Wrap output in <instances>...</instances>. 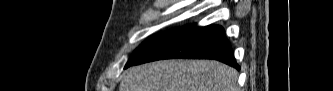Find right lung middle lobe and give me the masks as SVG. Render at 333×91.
I'll list each match as a JSON object with an SVG mask.
<instances>
[{
	"mask_svg": "<svg viewBox=\"0 0 333 91\" xmlns=\"http://www.w3.org/2000/svg\"><path fill=\"white\" fill-rule=\"evenodd\" d=\"M180 29V28H179ZM179 29H171L166 32L155 34L149 37L131 56L129 62L126 64L125 68L132 65L134 62L142 58L145 54H147L150 50L158 46L168 37H170L173 33H175Z\"/></svg>",
	"mask_w": 333,
	"mask_h": 91,
	"instance_id": "1",
	"label": "right lung middle lobe"
}]
</instances>
